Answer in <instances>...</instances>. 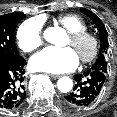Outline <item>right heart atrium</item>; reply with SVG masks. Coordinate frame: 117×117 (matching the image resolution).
Wrapping results in <instances>:
<instances>
[{
    "label": "right heart atrium",
    "mask_w": 117,
    "mask_h": 117,
    "mask_svg": "<svg viewBox=\"0 0 117 117\" xmlns=\"http://www.w3.org/2000/svg\"><path fill=\"white\" fill-rule=\"evenodd\" d=\"M43 21L39 17L25 20L17 30L19 47L27 53L38 49L43 43Z\"/></svg>",
    "instance_id": "1"
}]
</instances>
